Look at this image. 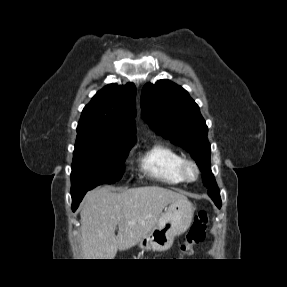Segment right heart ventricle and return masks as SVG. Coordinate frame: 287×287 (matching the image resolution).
<instances>
[{
	"label": "right heart ventricle",
	"mask_w": 287,
	"mask_h": 287,
	"mask_svg": "<svg viewBox=\"0 0 287 287\" xmlns=\"http://www.w3.org/2000/svg\"><path fill=\"white\" fill-rule=\"evenodd\" d=\"M184 157L172 146L155 143L140 157L141 170L150 178L168 185L184 182L180 175V165Z\"/></svg>",
	"instance_id": "right-heart-ventricle-1"
}]
</instances>
